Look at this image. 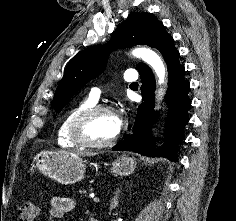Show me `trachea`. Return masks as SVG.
<instances>
[{"label": "trachea", "instance_id": "3493384b", "mask_svg": "<svg viewBox=\"0 0 236 221\" xmlns=\"http://www.w3.org/2000/svg\"><path fill=\"white\" fill-rule=\"evenodd\" d=\"M132 84H134V85H138V83H137V82H134V83H132Z\"/></svg>", "mask_w": 236, "mask_h": 221}]
</instances>
